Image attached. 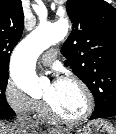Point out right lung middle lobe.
<instances>
[{"label": "right lung middle lobe", "mask_w": 116, "mask_h": 134, "mask_svg": "<svg viewBox=\"0 0 116 134\" xmlns=\"http://www.w3.org/2000/svg\"><path fill=\"white\" fill-rule=\"evenodd\" d=\"M8 78H9L8 72L0 73V117H4V115L13 112V110L11 109L5 98V90Z\"/></svg>", "instance_id": "dd1d6c3e"}]
</instances>
